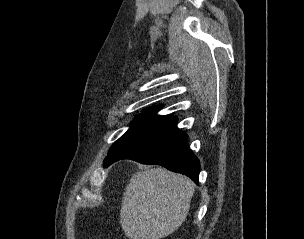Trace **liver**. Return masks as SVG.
<instances>
[{"label":"liver","mask_w":304,"mask_h":239,"mask_svg":"<svg viewBox=\"0 0 304 239\" xmlns=\"http://www.w3.org/2000/svg\"><path fill=\"white\" fill-rule=\"evenodd\" d=\"M195 184L188 177L164 168L145 167L127 184L120 223L130 239H161L185 221Z\"/></svg>","instance_id":"liver-1"}]
</instances>
